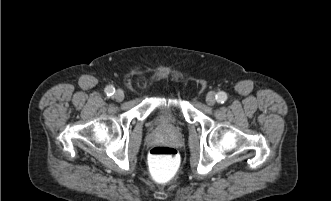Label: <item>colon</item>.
Here are the masks:
<instances>
[{
  "label": "colon",
  "instance_id": "obj_1",
  "mask_svg": "<svg viewBox=\"0 0 331 201\" xmlns=\"http://www.w3.org/2000/svg\"><path fill=\"white\" fill-rule=\"evenodd\" d=\"M148 168L152 178L158 183L174 179L180 169L178 151L170 146H155L148 156Z\"/></svg>",
  "mask_w": 331,
  "mask_h": 201
}]
</instances>
